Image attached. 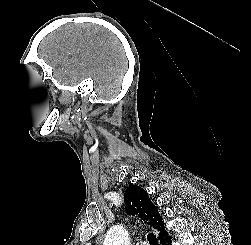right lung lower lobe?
Here are the masks:
<instances>
[{
    "label": "right lung lower lobe",
    "mask_w": 251,
    "mask_h": 245,
    "mask_svg": "<svg viewBox=\"0 0 251 245\" xmlns=\"http://www.w3.org/2000/svg\"><path fill=\"white\" fill-rule=\"evenodd\" d=\"M159 240L162 245H171V239L168 235H166L162 238H159Z\"/></svg>",
    "instance_id": "obj_1"
}]
</instances>
